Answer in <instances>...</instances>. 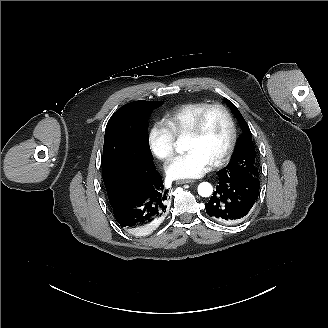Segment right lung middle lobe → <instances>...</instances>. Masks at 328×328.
I'll return each mask as SVG.
<instances>
[{"mask_svg":"<svg viewBox=\"0 0 328 328\" xmlns=\"http://www.w3.org/2000/svg\"><path fill=\"white\" fill-rule=\"evenodd\" d=\"M161 101H134L109 119L104 137L102 174L110 204L134 182L147 181L155 170L146 114Z\"/></svg>","mask_w":328,"mask_h":328,"instance_id":"1","label":"right lung middle lobe"}]
</instances>
